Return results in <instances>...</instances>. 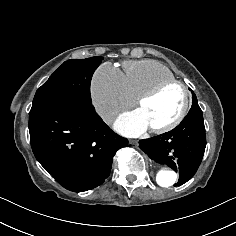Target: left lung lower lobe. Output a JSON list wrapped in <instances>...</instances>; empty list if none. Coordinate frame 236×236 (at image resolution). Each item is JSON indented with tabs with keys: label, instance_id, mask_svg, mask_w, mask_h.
Returning a JSON list of instances; mask_svg holds the SVG:
<instances>
[{
	"label": "left lung lower lobe",
	"instance_id": "1",
	"mask_svg": "<svg viewBox=\"0 0 236 236\" xmlns=\"http://www.w3.org/2000/svg\"><path fill=\"white\" fill-rule=\"evenodd\" d=\"M140 148L155 162L179 172L178 183H186L196 173L206 147L202 114L187 115L173 130L139 141Z\"/></svg>",
	"mask_w": 236,
	"mask_h": 236
}]
</instances>
